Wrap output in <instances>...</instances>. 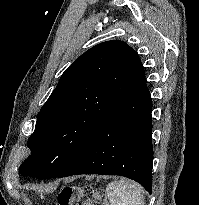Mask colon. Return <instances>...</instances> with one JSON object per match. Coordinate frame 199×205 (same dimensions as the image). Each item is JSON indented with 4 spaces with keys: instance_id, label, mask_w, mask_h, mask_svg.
<instances>
[{
    "instance_id": "colon-1",
    "label": "colon",
    "mask_w": 199,
    "mask_h": 205,
    "mask_svg": "<svg viewBox=\"0 0 199 205\" xmlns=\"http://www.w3.org/2000/svg\"><path fill=\"white\" fill-rule=\"evenodd\" d=\"M58 205H106V200L100 191L90 186H67L61 189L57 196Z\"/></svg>"
}]
</instances>
